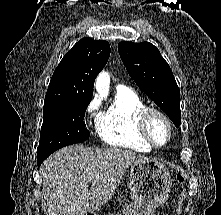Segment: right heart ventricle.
Returning <instances> with one entry per match:
<instances>
[{
    "label": "right heart ventricle",
    "mask_w": 221,
    "mask_h": 215,
    "mask_svg": "<svg viewBox=\"0 0 221 215\" xmlns=\"http://www.w3.org/2000/svg\"><path fill=\"white\" fill-rule=\"evenodd\" d=\"M145 107L137 93L128 89L117 91L113 104L98 123L102 141L136 152H150L153 147L142 138L138 128V117Z\"/></svg>",
    "instance_id": "obj_1"
}]
</instances>
